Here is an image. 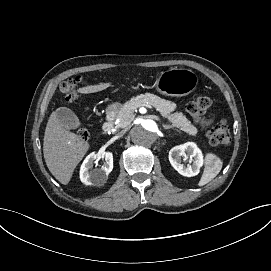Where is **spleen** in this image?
<instances>
[{"mask_svg": "<svg viewBox=\"0 0 271 271\" xmlns=\"http://www.w3.org/2000/svg\"><path fill=\"white\" fill-rule=\"evenodd\" d=\"M222 161L214 154H207L205 157V168L199 181V186H204L212 181L220 172Z\"/></svg>", "mask_w": 271, "mask_h": 271, "instance_id": "spleen-1", "label": "spleen"}]
</instances>
